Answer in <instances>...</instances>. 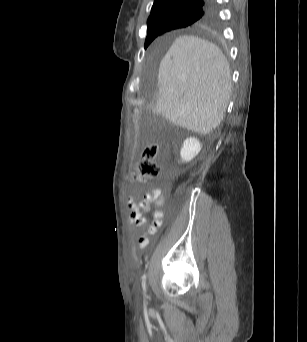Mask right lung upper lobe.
<instances>
[{
	"instance_id": "right-lung-upper-lobe-1",
	"label": "right lung upper lobe",
	"mask_w": 307,
	"mask_h": 342,
	"mask_svg": "<svg viewBox=\"0 0 307 342\" xmlns=\"http://www.w3.org/2000/svg\"><path fill=\"white\" fill-rule=\"evenodd\" d=\"M213 4L211 0H155L147 24L151 26L156 17L166 11L198 9L203 10L202 16L188 27L195 32L208 33L214 23Z\"/></svg>"
}]
</instances>
